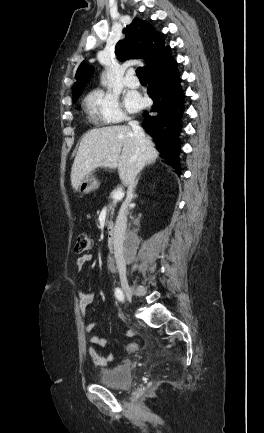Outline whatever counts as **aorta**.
<instances>
[{
  "label": "aorta",
  "instance_id": "aorta-1",
  "mask_svg": "<svg viewBox=\"0 0 264 433\" xmlns=\"http://www.w3.org/2000/svg\"><path fill=\"white\" fill-rule=\"evenodd\" d=\"M101 80H102V83L104 84L105 83V77H104V75L102 76Z\"/></svg>",
  "mask_w": 264,
  "mask_h": 433
}]
</instances>
